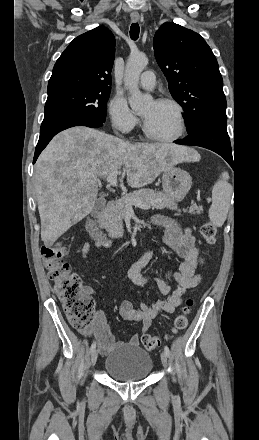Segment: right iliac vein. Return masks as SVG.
Returning a JSON list of instances; mask_svg holds the SVG:
<instances>
[{"instance_id": "63e3f726", "label": "right iliac vein", "mask_w": 259, "mask_h": 440, "mask_svg": "<svg viewBox=\"0 0 259 440\" xmlns=\"http://www.w3.org/2000/svg\"><path fill=\"white\" fill-rule=\"evenodd\" d=\"M98 358V352L97 350H94L91 354V365L94 366L96 364Z\"/></svg>"}]
</instances>
